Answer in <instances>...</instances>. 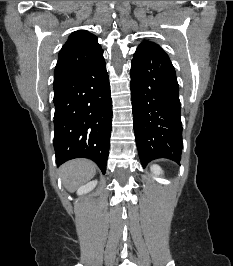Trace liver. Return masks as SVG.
Listing matches in <instances>:
<instances>
[{"mask_svg": "<svg viewBox=\"0 0 233 266\" xmlns=\"http://www.w3.org/2000/svg\"><path fill=\"white\" fill-rule=\"evenodd\" d=\"M63 185L74 192L96 174V165L88 159H74L60 167Z\"/></svg>", "mask_w": 233, "mask_h": 266, "instance_id": "liver-1", "label": "liver"}]
</instances>
